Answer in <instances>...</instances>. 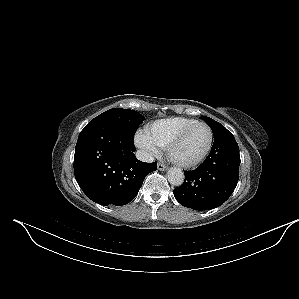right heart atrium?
Wrapping results in <instances>:
<instances>
[{
    "mask_svg": "<svg viewBox=\"0 0 299 299\" xmlns=\"http://www.w3.org/2000/svg\"><path fill=\"white\" fill-rule=\"evenodd\" d=\"M134 140L147 156L154 157L160 153L161 147L146 132H138Z\"/></svg>",
    "mask_w": 299,
    "mask_h": 299,
    "instance_id": "1",
    "label": "right heart atrium"
}]
</instances>
